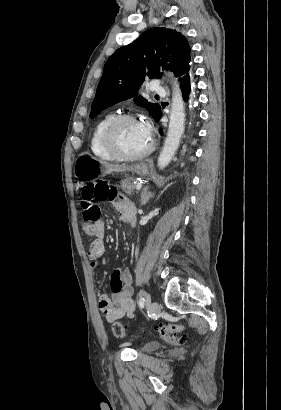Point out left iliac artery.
<instances>
[{
  "label": "left iliac artery",
  "mask_w": 281,
  "mask_h": 410,
  "mask_svg": "<svg viewBox=\"0 0 281 410\" xmlns=\"http://www.w3.org/2000/svg\"><path fill=\"white\" fill-rule=\"evenodd\" d=\"M147 300V295L143 292H141L140 300H139V306L143 308L145 306V302Z\"/></svg>",
  "instance_id": "44dca946"
}]
</instances>
